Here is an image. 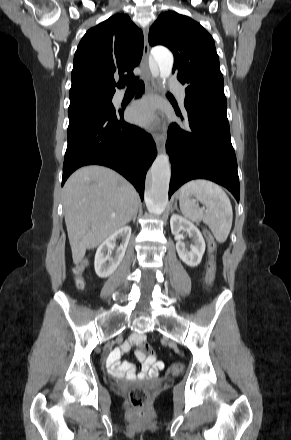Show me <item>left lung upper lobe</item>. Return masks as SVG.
<instances>
[{
  "label": "left lung upper lobe",
  "mask_w": 291,
  "mask_h": 440,
  "mask_svg": "<svg viewBox=\"0 0 291 440\" xmlns=\"http://www.w3.org/2000/svg\"><path fill=\"white\" fill-rule=\"evenodd\" d=\"M149 43L173 52V73L186 85V98L226 105L214 40L199 23L173 11L162 13L149 30Z\"/></svg>",
  "instance_id": "obj_1"
}]
</instances>
